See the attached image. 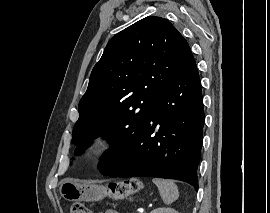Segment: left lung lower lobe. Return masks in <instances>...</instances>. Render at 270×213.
Listing matches in <instances>:
<instances>
[{
    "instance_id": "left-lung-lower-lobe-1",
    "label": "left lung lower lobe",
    "mask_w": 270,
    "mask_h": 213,
    "mask_svg": "<svg viewBox=\"0 0 270 213\" xmlns=\"http://www.w3.org/2000/svg\"><path fill=\"white\" fill-rule=\"evenodd\" d=\"M203 124V98L194 64L158 97L138 132L120 143H112V150L100 158L98 169L111 177L182 180L198 190ZM157 125L158 132L152 136Z\"/></svg>"
}]
</instances>
